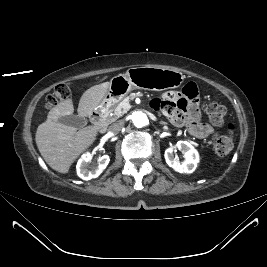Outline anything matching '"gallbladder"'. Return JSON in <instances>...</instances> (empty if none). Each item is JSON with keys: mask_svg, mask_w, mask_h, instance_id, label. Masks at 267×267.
<instances>
[{"mask_svg": "<svg viewBox=\"0 0 267 267\" xmlns=\"http://www.w3.org/2000/svg\"><path fill=\"white\" fill-rule=\"evenodd\" d=\"M58 121L64 125L74 127L76 129L83 128L87 124V120L79 115L62 116Z\"/></svg>", "mask_w": 267, "mask_h": 267, "instance_id": "gallbladder-1", "label": "gallbladder"}]
</instances>
